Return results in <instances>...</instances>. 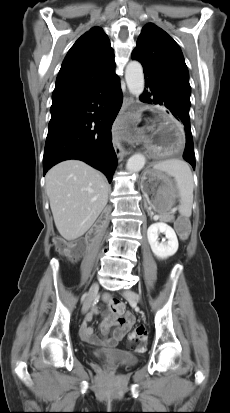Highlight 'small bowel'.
<instances>
[{
    "mask_svg": "<svg viewBox=\"0 0 230 413\" xmlns=\"http://www.w3.org/2000/svg\"><path fill=\"white\" fill-rule=\"evenodd\" d=\"M107 301H110L108 295H104ZM99 310L96 305L92 306V310L85 317L81 325V336L83 340L93 345H102L105 347H114L116 343L121 340L134 324L135 318L129 312L115 313L107 316L101 323V333L106 335L111 327H116V330L110 339H100L93 334L90 322L94 315L98 314Z\"/></svg>",
    "mask_w": 230,
    "mask_h": 413,
    "instance_id": "small-bowel-1",
    "label": "small bowel"
}]
</instances>
